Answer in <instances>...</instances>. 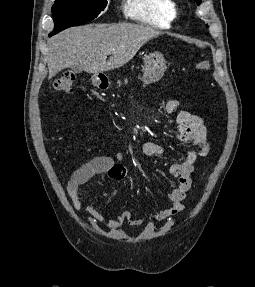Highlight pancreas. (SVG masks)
<instances>
[{
  "label": "pancreas",
  "mask_w": 255,
  "mask_h": 287,
  "mask_svg": "<svg viewBox=\"0 0 255 287\" xmlns=\"http://www.w3.org/2000/svg\"><path fill=\"white\" fill-rule=\"evenodd\" d=\"M117 84H119L118 88H120L121 80H118ZM124 84H127L126 78H125V80H124Z\"/></svg>",
  "instance_id": "pancreas-1"
}]
</instances>
